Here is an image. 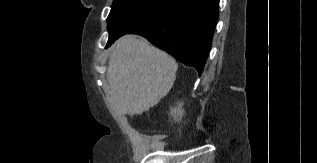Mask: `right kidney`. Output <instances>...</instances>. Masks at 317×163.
I'll return each mask as SVG.
<instances>
[{"label":"right kidney","mask_w":317,"mask_h":163,"mask_svg":"<svg viewBox=\"0 0 317 163\" xmlns=\"http://www.w3.org/2000/svg\"><path fill=\"white\" fill-rule=\"evenodd\" d=\"M183 102L178 103L175 108H172L170 111V115L173 117L175 121H180L184 115V110L182 109Z\"/></svg>","instance_id":"1"}]
</instances>
